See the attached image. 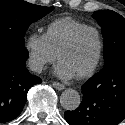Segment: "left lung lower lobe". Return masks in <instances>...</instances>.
<instances>
[{
    "instance_id": "0a47b994",
    "label": "left lung lower lobe",
    "mask_w": 125,
    "mask_h": 125,
    "mask_svg": "<svg viewBox=\"0 0 125 125\" xmlns=\"http://www.w3.org/2000/svg\"><path fill=\"white\" fill-rule=\"evenodd\" d=\"M83 100L64 116L70 125H117L125 119V57L116 58L82 87Z\"/></svg>"
}]
</instances>
